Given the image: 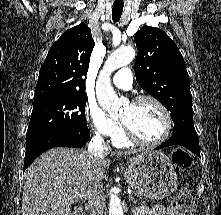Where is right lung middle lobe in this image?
<instances>
[{"label": "right lung middle lobe", "instance_id": "obj_1", "mask_svg": "<svg viewBox=\"0 0 221 215\" xmlns=\"http://www.w3.org/2000/svg\"><path fill=\"white\" fill-rule=\"evenodd\" d=\"M86 100V94H67L34 101L26 138L45 133L74 134L88 130Z\"/></svg>", "mask_w": 221, "mask_h": 215}]
</instances>
